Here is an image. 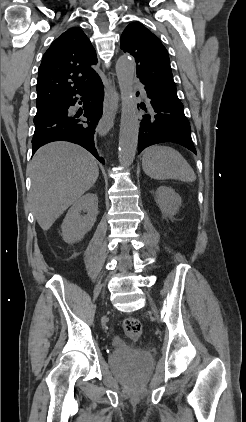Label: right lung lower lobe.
Here are the masks:
<instances>
[{"instance_id":"1","label":"right lung lower lobe","mask_w":246,"mask_h":422,"mask_svg":"<svg viewBox=\"0 0 246 422\" xmlns=\"http://www.w3.org/2000/svg\"><path fill=\"white\" fill-rule=\"evenodd\" d=\"M94 90V92H91ZM76 94L83 96V110L79 115H72L69 107L75 105ZM62 99L49 107L47 116L34 120L35 132L32 139L33 154L41 146L53 141H69L81 145L91 152L101 163H105L99 157L94 144L95 128L102 116L103 84L97 76L84 90ZM87 121L79 119L80 115Z\"/></svg>"}]
</instances>
